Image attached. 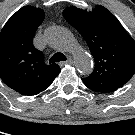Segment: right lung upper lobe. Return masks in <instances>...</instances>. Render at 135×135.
<instances>
[{"label":"right lung upper lobe","instance_id":"right-lung-upper-lobe-1","mask_svg":"<svg viewBox=\"0 0 135 135\" xmlns=\"http://www.w3.org/2000/svg\"><path fill=\"white\" fill-rule=\"evenodd\" d=\"M44 11L24 6L13 14L0 32V78L21 95H36L48 88L61 71L47 65L33 46V37Z\"/></svg>","mask_w":135,"mask_h":135}]
</instances>
